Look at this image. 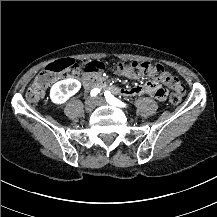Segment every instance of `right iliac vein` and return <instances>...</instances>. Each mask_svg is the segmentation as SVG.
<instances>
[{"label": "right iliac vein", "mask_w": 217, "mask_h": 217, "mask_svg": "<svg viewBox=\"0 0 217 217\" xmlns=\"http://www.w3.org/2000/svg\"><path fill=\"white\" fill-rule=\"evenodd\" d=\"M96 106V100L93 97H87L85 100V110L92 112Z\"/></svg>", "instance_id": "1"}]
</instances>
